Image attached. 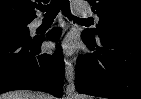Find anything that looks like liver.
<instances>
[{"label": "liver", "instance_id": "liver-1", "mask_svg": "<svg viewBox=\"0 0 141 99\" xmlns=\"http://www.w3.org/2000/svg\"><path fill=\"white\" fill-rule=\"evenodd\" d=\"M0 99H38V98L35 92L29 90H18L0 95Z\"/></svg>", "mask_w": 141, "mask_h": 99}]
</instances>
